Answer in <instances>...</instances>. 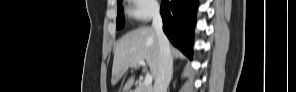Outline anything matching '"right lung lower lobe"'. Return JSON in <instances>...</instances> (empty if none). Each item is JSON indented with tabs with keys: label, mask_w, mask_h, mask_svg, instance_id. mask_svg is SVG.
I'll use <instances>...</instances> for the list:
<instances>
[{
	"label": "right lung lower lobe",
	"mask_w": 296,
	"mask_h": 92,
	"mask_svg": "<svg viewBox=\"0 0 296 92\" xmlns=\"http://www.w3.org/2000/svg\"><path fill=\"white\" fill-rule=\"evenodd\" d=\"M197 7L198 0H162L160 8L165 34L190 59Z\"/></svg>",
	"instance_id": "obj_1"
}]
</instances>
